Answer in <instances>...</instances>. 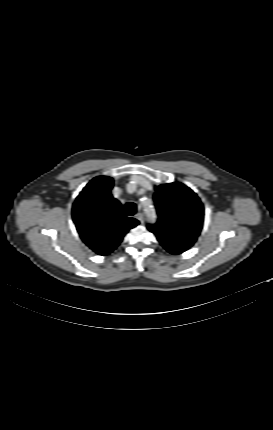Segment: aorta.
<instances>
[{
	"label": "aorta",
	"instance_id": "762f6f07",
	"mask_svg": "<svg viewBox=\"0 0 273 430\" xmlns=\"http://www.w3.org/2000/svg\"><path fill=\"white\" fill-rule=\"evenodd\" d=\"M145 213L151 221H155L157 219V213L154 208L145 209Z\"/></svg>",
	"mask_w": 273,
	"mask_h": 430
}]
</instances>
